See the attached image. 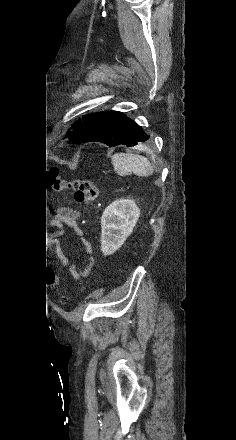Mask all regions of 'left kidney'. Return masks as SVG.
I'll use <instances>...</instances> for the list:
<instances>
[{"mask_svg":"<svg viewBox=\"0 0 236 440\" xmlns=\"http://www.w3.org/2000/svg\"><path fill=\"white\" fill-rule=\"evenodd\" d=\"M140 217V209L133 200L119 199L111 203L101 217V250L112 255L126 241Z\"/></svg>","mask_w":236,"mask_h":440,"instance_id":"5707ae66","label":"left kidney"}]
</instances>
